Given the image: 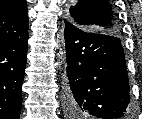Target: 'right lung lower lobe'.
<instances>
[{"label":"right lung lower lobe","instance_id":"right-lung-lower-lobe-1","mask_svg":"<svg viewBox=\"0 0 142 119\" xmlns=\"http://www.w3.org/2000/svg\"><path fill=\"white\" fill-rule=\"evenodd\" d=\"M28 32L0 44V119H19Z\"/></svg>","mask_w":142,"mask_h":119}]
</instances>
